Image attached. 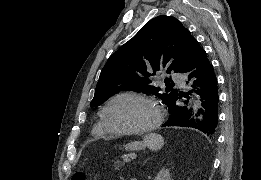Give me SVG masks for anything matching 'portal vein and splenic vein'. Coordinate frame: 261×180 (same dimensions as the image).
<instances>
[{"label":"portal vein and splenic vein","instance_id":"obj_1","mask_svg":"<svg viewBox=\"0 0 261 180\" xmlns=\"http://www.w3.org/2000/svg\"><path fill=\"white\" fill-rule=\"evenodd\" d=\"M130 155H134V154H129ZM131 162V160L129 158H123V163H129Z\"/></svg>","mask_w":261,"mask_h":180}]
</instances>
